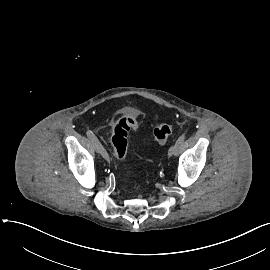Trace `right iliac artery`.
<instances>
[{
  "label": "right iliac artery",
  "instance_id": "obj_1",
  "mask_svg": "<svg viewBox=\"0 0 270 270\" xmlns=\"http://www.w3.org/2000/svg\"><path fill=\"white\" fill-rule=\"evenodd\" d=\"M88 138L90 140H93V141H96L98 144H99V148H100V152H101V155L107 160V161H110V157L108 155V153L106 152V150L104 149V147L101 145V143L98 141V139L96 138V136L94 135V133L90 130H88L86 132Z\"/></svg>",
  "mask_w": 270,
  "mask_h": 270
}]
</instances>
